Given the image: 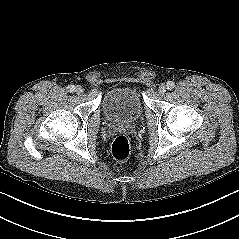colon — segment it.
<instances>
[{
    "instance_id": "1",
    "label": "colon",
    "mask_w": 239,
    "mask_h": 239,
    "mask_svg": "<svg viewBox=\"0 0 239 239\" xmlns=\"http://www.w3.org/2000/svg\"><path fill=\"white\" fill-rule=\"evenodd\" d=\"M111 153L116 160L125 161L130 157L131 146L124 135H118L112 142Z\"/></svg>"
}]
</instances>
